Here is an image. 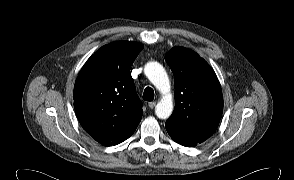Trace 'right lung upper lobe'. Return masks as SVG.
<instances>
[{
    "instance_id": "right-lung-upper-lobe-1",
    "label": "right lung upper lobe",
    "mask_w": 294,
    "mask_h": 180,
    "mask_svg": "<svg viewBox=\"0 0 294 180\" xmlns=\"http://www.w3.org/2000/svg\"><path fill=\"white\" fill-rule=\"evenodd\" d=\"M143 45L118 41L101 47L82 67L74 86V108L82 127L110 145L137 125L142 104L130 68Z\"/></svg>"
}]
</instances>
